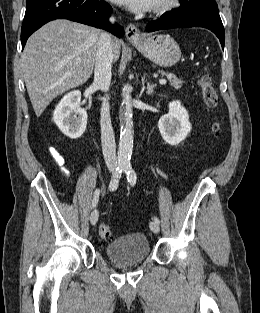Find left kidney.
<instances>
[{
	"label": "left kidney",
	"mask_w": 260,
	"mask_h": 313,
	"mask_svg": "<svg viewBox=\"0 0 260 313\" xmlns=\"http://www.w3.org/2000/svg\"><path fill=\"white\" fill-rule=\"evenodd\" d=\"M158 128L162 138L174 146L182 142L191 131V123L187 110L180 101L169 103V112L158 121Z\"/></svg>",
	"instance_id": "5707ae66"
}]
</instances>
